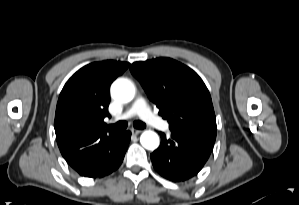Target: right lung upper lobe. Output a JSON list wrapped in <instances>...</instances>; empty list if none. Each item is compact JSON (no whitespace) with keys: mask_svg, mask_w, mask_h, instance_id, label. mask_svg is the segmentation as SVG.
<instances>
[{"mask_svg":"<svg viewBox=\"0 0 299 205\" xmlns=\"http://www.w3.org/2000/svg\"><path fill=\"white\" fill-rule=\"evenodd\" d=\"M130 64L102 61L78 70L63 87L56 108L55 133L60 152L77 172L95 155L114 144L120 134L105 131L109 88Z\"/></svg>","mask_w":299,"mask_h":205,"instance_id":"right-lung-upper-lobe-1","label":"right lung upper lobe"}]
</instances>
